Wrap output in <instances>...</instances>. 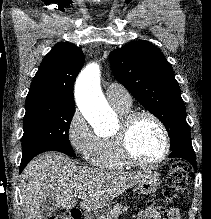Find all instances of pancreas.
<instances>
[{
  "mask_svg": "<svg viewBox=\"0 0 211 219\" xmlns=\"http://www.w3.org/2000/svg\"><path fill=\"white\" fill-rule=\"evenodd\" d=\"M128 207L122 204L115 205L107 215L101 216L100 219H118L119 215L127 211Z\"/></svg>",
  "mask_w": 211,
  "mask_h": 219,
  "instance_id": "obj_1",
  "label": "pancreas"
}]
</instances>
